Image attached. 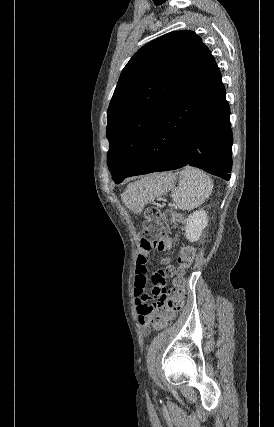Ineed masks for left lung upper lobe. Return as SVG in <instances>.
<instances>
[{
    "label": "left lung upper lobe",
    "mask_w": 274,
    "mask_h": 427,
    "mask_svg": "<svg viewBox=\"0 0 274 427\" xmlns=\"http://www.w3.org/2000/svg\"><path fill=\"white\" fill-rule=\"evenodd\" d=\"M209 55L194 32L174 31L130 59L107 111V164L113 177L129 170L159 117Z\"/></svg>",
    "instance_id": "5c2ea615"
}]
</instances>
